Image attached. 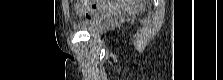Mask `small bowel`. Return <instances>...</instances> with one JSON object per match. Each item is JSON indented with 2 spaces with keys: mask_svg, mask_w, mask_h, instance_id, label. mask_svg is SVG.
Masks as SVG:
<instances>
[{
  "mask_svg": "<svg viewBox=\"0 0 223 80\" xmlns=\"http://www.w3.org/2000/svg\"><path fill=\"white\" fill-rule=\"evenodd\" d=\"M121 6L120 3H114L111 7L112 10H117ZM77 13L85 16L86 18H91L93 16H98L104 14L108 9L97 3H87L84 5L76 6Z\"/></svg>",
  "mask_w": 223,
  "mask_h": 80,
  "instance_id": "small-bowel-1",
  "label": "small bowel"
}]
</instances>
